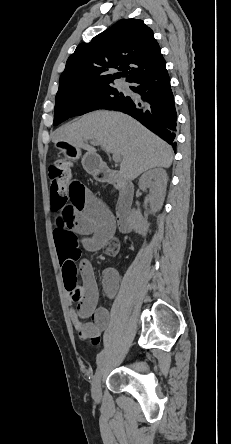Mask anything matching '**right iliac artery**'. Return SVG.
Wrapping results in <instances>:
<instances>
[{"mask_svg":"<svg viewBox=\"0 0 231 444\" xmlns=\"http://www.w3.org/2000/svg\"><path fill=\"white\" fill-rule=\"evenodd\" d=\"M105 350H102L98 355H97V364L100 363V361L102 360L103 356H104Z\"/></svg>","mask_w":231,"mask_h":444,"instance_id":"1","label":"right iliac artery"}]
</instances>
